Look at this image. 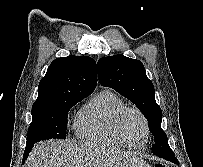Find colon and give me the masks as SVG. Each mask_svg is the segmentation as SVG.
<instances>
[{
  "label": "colon",
  "instance_id": "1",
  "mask_svg": "<svg viewBox=\"0 0 203 167\" xmlns=\"http://www.w3.org/2000/svg\"><path fill=\"white\" fill-rule=\"evenodd\" d=\"M155 167H166L164 164L158 163L155 165Z\"/></svg>",
  "mask_w": 203,
  "mask_h": 167
}]
</instances>
